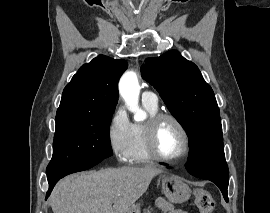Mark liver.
<instances>
[{"label": "liver", "mask_w": 270, "mask_h": 213, "mask_svg": "<svg viewBox=\"0 0 270 213\" xmlns=\"http://www.w3.org/2000/svg\"><path fill=\"white\" fill-rule=\"evenodd\" d=\"M160 173L156 166H123L71 175L52 191L53 213H127Z\"/></svg>", "instance_id": "liver-1"}]
</instances>
